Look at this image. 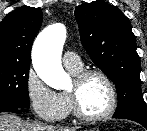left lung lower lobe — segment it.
I'll use <instances>...</instances> for the list:
<instances>
[{
	"label": "left lung lower lobe",
	"instance_id": "0a47b994",
	"mask_svg": "<svg viewBox=\"0 0 147 131\" xmlns=\"http://www.w3.org/2000/svg\"><path fill=\"white\" fill-rule=\"evenodd\" d=\"M113 118L132 120V121H135L143 125L147 129V118H142V117H137V116H121V117L113 116Z\"/></svg>",
	"mask_w": 147,
	"mask_h": 131
}]
</instances>
